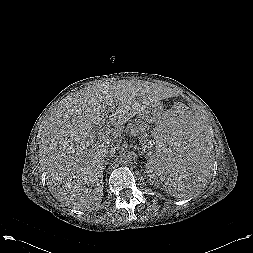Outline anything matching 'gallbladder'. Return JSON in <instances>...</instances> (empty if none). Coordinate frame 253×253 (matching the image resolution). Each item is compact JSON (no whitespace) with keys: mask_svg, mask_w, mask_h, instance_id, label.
<instances>
[{"mask_svg":"<svg viewBox=\"0 0 253 253\" xmlns=\"http://www.w3.org/2000/svg\"><path fill=\"white\" fill-rule=\"evenodd\" d=\"M99 127L98 126H95L94 128H93V130H96V129H98Z\"/></svg>","mask_w":253,"mask_h":253,"instance_id":"1","label":"gallbladder"}]
</instances>
